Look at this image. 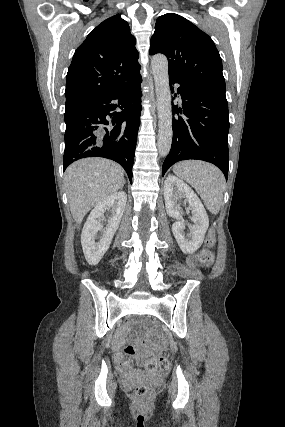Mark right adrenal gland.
Listing matches in <instances>:
<instances>
[{
  "label": "right adrenal gland",
  "instance_id": "1",
  "mask_svg": "<svg viewBox=\"0 0 285 427\" xmlns=\"http://www.w3.org/2000/svg\"><path fill=\"white\" fill-rule=\"evenodd\" d=\"M124 184L121 186V189L123 188Z\"/></svg>",
  "mask_w": 285,
  "mask_h": 427
}]
</instances>
